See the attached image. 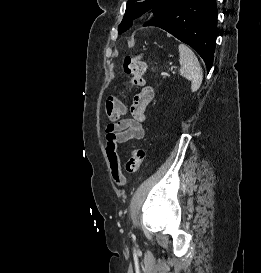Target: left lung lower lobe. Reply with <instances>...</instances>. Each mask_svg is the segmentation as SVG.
Returning <instances> with one entry per match:
<instances>
[{
    "mask_svg": "<svg viewBox=\"0 0 261 273\" xmlns=\"http://www.w3.org/2000/svg\"><path fill=\"white\" fill-rule=\"evenodd\" d=\"M144 26L160 27L188 44L203 58L207 71L211 69L217 32L216 0H173Z\"/></svg>",
    "mask_w": 261,
    "mask_h": 273,
    "instance_id": "0a47b994",
    "label": "left lung lower lobe"
}]
</instances>
